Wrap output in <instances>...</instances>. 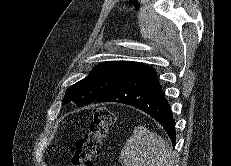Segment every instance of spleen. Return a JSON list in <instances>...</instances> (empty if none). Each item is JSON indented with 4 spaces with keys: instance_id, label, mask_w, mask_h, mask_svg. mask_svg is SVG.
Instances as JSON below:
<instances>
[{
    "instance_id": "1",
    "label": "spleen",
    "mask_w": 231,
    "mask_h": 166,
    "mask_svg": "<svg viewBox=\"0 0 231 166\" xmlns=\"http://www.w3.org/2000/svg\"><path fill=\"white\" fill-rule=\"evenodd\" d=\"M119 160L125 166H173L172 148L162 137L137 126L122 148Z\"/></svg>"
}]
</instances>
